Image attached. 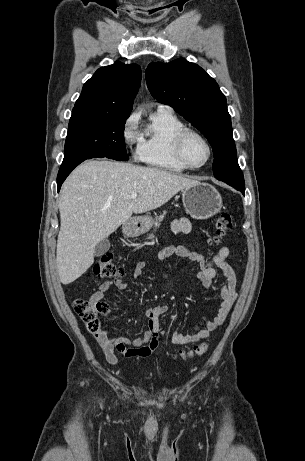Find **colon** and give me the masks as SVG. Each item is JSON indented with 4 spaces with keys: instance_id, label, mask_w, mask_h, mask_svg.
Segmentation results:
<instances>
[{
    "instance_id": "colon-1",
    "label": "colon",
    "mask_w": 305,
    "mask_h": 461,
    "mask_svg": "<svg viewBox=\"0 0 305 461\" xmlns=\"http://www.w3.org/2000/svg\"><path fill=\"white\" fill-rule=\"evenodd\" d=\"M232 229V217L228 213L219 214L216 220V236L214 240L220 241ZM94 273L102 279H116L124 274L123 270L113 262V257L110 254H105L99 259L95 265ZM74 310L86 324L88 331L98 333L102 329L101 318L109 313V305L95 298L88 300L78 299L74 302ZM207 349V343H201L187 351H179L178 356L182 359L193 358L203 355Z\"/></svg>"
}]
</instances>
